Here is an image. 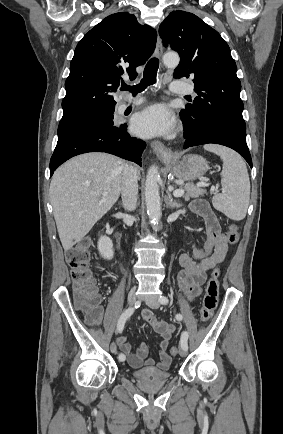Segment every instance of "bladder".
<instances>
[{
	"mask_svg": "<svg viewBox=\"0 0 283 434\" xmlns=\"http://www.w3.org/2000/svg\"><path fill=\"white\" fill-rule=\"evenodd\" d=\"M132 376L136 380L149 381H167L171 378L169 371L160 370L154 366H146L132 371Z\"/></svg>",
	"mask_w": 283,
	"mask_h": 434,
	"instance_id": "31cf9c89",
	"label": "bladder"
}]
</instances>
